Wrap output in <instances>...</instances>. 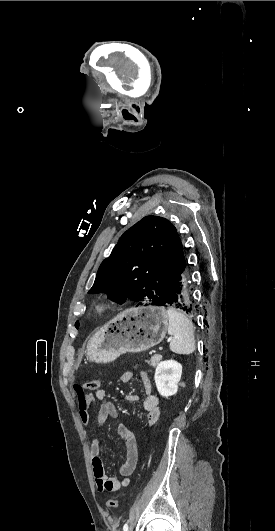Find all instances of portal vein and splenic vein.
Segmentation results:
<instances>
[{"label":"portal vein and splenic vein","mask_w":275,"mask_h":531,"mask_svg":"<svg viewBox=\"0 0 275 531\" xmlns=\"http://www.w3.org/2000/svg\"><path fill=\"white\" fill-rule=\"evenodd\" d=\"M168 342H172V339H168ZM160 350H163V347H160Z\"/></svg>","instance_id":"18ae733b"}]
</instances>
